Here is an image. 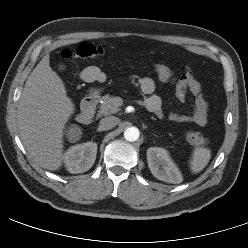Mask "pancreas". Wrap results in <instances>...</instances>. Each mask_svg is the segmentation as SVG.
Wrapping results in <instances>:
<instances>
[{"mask_svg":"<svg viewBox=\"0 0 248 248\" xmlns=\"http://www.w3.org/2000/svg\"><path fill=\"white\" fill-rule=\"evenodd\" d=\"M102 104L99 106V115H110L119 111V104L116 102V97L110 96L109 94L103 96Z\"/></svg>","mask_w":248,"mask_h":248,"instance_id":"obj_1","label":"pancreas"}]
</instances>
